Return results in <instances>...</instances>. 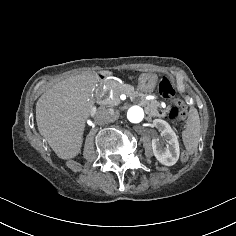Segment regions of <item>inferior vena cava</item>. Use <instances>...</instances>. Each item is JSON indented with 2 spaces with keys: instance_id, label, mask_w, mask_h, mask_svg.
<instances>
[{
  "instance_id": "602c4592",
  "label": "inferior vena cava",
  "mask_w": 236,
  "mask_h": 236,
  "mask_svg": "<svg viewBox=\"0 0 236 236\" xmlns=\"http://www.w3.org/2000/svg\"><path fill=\"white\" fill-rule=\"evenodd\" d=\"M94 119H95L96 124L98 125H103L106 122L100 110L94 112Z\"/></svg>"
}]
</instances>
